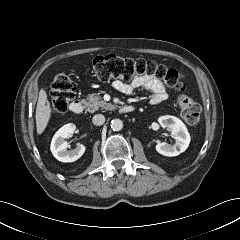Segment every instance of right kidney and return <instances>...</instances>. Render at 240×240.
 Masks as SVG:
<instances>
[{
	"instance_id": "right-kidney-1",
	"label": "right kidney",
	"mask_w": 240,
	"mask_h": 240,
	"mask_svg": "<svg viewBox=\"0 0 240 240\" xmlns=\"http://www.w3.org/2000/svg\"><path fill=\"white\" fill-rule=\"evenodd\" d=\"M75 129V124L68 123L62 126L53 136L50 150L57 160L61 162H74L84 154L85 146L82 144H79L74 150H67L69 145L65 139L71 137Z\"/></svg>"
}]
</instances>
